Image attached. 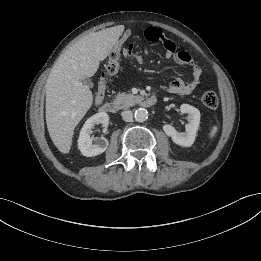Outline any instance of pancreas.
Listing matches in <instances>:
<instances>
[{"mask_svg":"<svg viewBox=\"0 0 261 261\" xmlns=\"http://www.w3.org/2000/svg\"><path fill=\"white\" fill-rule=\"evenodd\" d=\"M141 98L139 96H135L130 93H118L114 99V102L120 107V108H128L130 106H133L135 103H137Z\"/></svg>","mask_w":261,"mask_h":261,"instance_id":"cf45deb5","label":"pancreas"}]
</instances>
